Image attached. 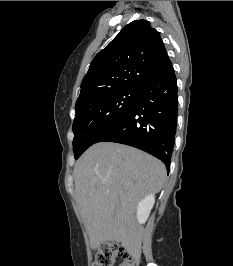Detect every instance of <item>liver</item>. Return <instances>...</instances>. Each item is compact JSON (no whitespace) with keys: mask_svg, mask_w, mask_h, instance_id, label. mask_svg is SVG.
<instances>
[{"mask_svg":"<svg viewBox=\"0 0 233 266\" xmlns=\"http://www.w3.org/2000/svg\"><path fill=\"white\" fill-rule=\"evenodd\" d=\"M75 196L96 249L107 241L132 250L140 242L136 205L159 192L165 165L155 157L123 144L101 142L87 149L74 167Z\"/></svg>","mask_w":233,"mask_h":266,"instance_id":"liver-1","label":"liver"}]
</instances>
